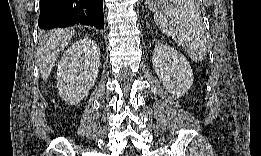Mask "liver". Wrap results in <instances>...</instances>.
Wrapping results in <instances>:
<instances>
[{
    "label": "liver",
    "instance_id": "6515ba94",
    "mask_svg": "<svg viewBox=\"0 0 261 156\" xmlns=\"http://www.w3.org/2000/svg\"><path fill=\"white\" fill-rule=\"evenodd\" d=\"M74 35L73 29H57L45 35L37 49V63L41 77L47 80L60 52Z\"/></svg>",
    "mask_w": 261,
    "mask_h": 156
}]
</instances>
